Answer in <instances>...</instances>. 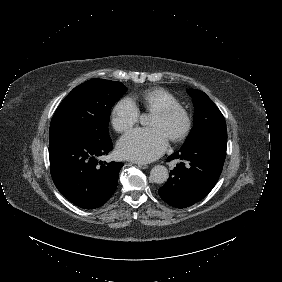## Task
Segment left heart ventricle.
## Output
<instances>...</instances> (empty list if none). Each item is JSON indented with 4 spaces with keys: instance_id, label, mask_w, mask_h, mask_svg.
I'll use <instances>...</instances> for the list:
<instances>
[{
    "instance_id": "b2bd125f",
    "label": "left heart ventricle",
    "mask_w": 282,
    "mask_h": 282,
    "mask_svg": "<svg viewBox=\"0 0 282 282\" xmlns=\"http://www.w3.org/2000/svg\"><path fill=\"white\" fill-rule=\"evenodd\" d=\"M151 127H159L169 137L180 126V120L178 118L165 119L159 115L152 114L150 119Z\"/></svg>"
}]
</instances>
